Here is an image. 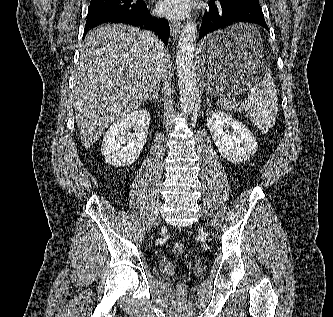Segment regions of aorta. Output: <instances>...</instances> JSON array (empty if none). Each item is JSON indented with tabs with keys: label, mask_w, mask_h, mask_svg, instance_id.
<instances>
[{
	"label": "aorta",
	"mask_w": 333,
	"mask_h": 317,
	"mask_svg": "<svg viewBox=\"0 0 333 317\" xmlns=\"http://www.w3.org/2000/svg\"><path fill=\"white\" fill-rule=\"evenodd\" d=\"M198 35L195 21H188L179 38L176 50V65L180 92V109L188 114L197 100V77L194 62V51Z\"/></svg>",
	"instance_id": "aorta-1"
}]
</instances>
